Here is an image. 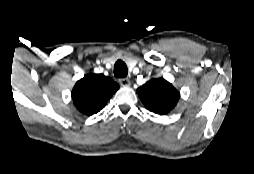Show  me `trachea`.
I'll return each mask as SVG.
<instances>
[{
    "mask_svg": "<svg viewBox=\"0 0 254 174\" xmlns=\"http://www.w3.org/2000/svg\"><path fill=\"white\" fill-rule=\"evenodd\" d=\"M127 74L128 70L126 64L123 61L118 60L114 66V75L119 78H124Z\"/></svg>",
    "mask_w": 254,
    "mask_h": 174,
    "instance_id": "obj_1",
    "label": "trachea"
}]
</instances>
